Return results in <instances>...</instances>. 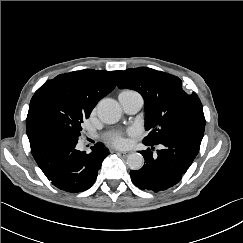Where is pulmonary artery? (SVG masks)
<instances>
[{
    "instance_id": "1",
    "label": "pulmonary artery",
    "mask_w": 243,
    "mask_h": 243,
    "mask_svg": "<svg viewBox=\"0 0 243 243\" xmlns=\"http://www.w3.org/2000/svg\"><path fill=\"white\" fill-rule=\"evenodd\" d=\"M119 100L124 111L128 114L137 113L143 105V99L139 95L122 97Z\"/></svg>"
}]
</instances>
